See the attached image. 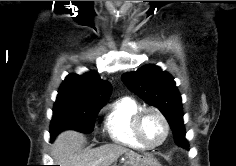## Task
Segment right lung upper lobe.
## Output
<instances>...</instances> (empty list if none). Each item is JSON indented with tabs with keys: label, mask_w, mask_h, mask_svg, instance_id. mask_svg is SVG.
Returning <instances> with one entry per match:
<instances>
[{
	"label": "right lung upper lobe",
	"mask_w": 236,
	"mask_h": 166,
	"mask_svg": "<svg viewBox=\"0 0 236 166\" xmlns=\"http://www.w3.org/2000/svg\"><path fill=\"white\" fill-rule=\"evenodd\" d=\"M111 90V84L102 80L95 71L84 75L69 74L59 88L55 103L74 102L104 106Z\"/></svg>",
	"instance_id": "right-lung-upper-lobe-1"
}]
</instances>
